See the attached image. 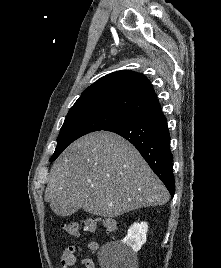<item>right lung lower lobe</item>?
<instances>
[{
    "mask_svg": "<svg viewBox=\"0 0 221 268\" xmlns=\"http://www.w3.org/2000/svg\"><path fill=\"white\" fill-rule=\"evenodd\" d=\"M132 143L173 197L175 179L167 120L161 110L108 128Z\"/></svg>",
    "mask_w": 221,
    "mask_h": 268,
    "instance_id": "obj_1",
    "label": "right lung lower lobe"
}]
</instances>
